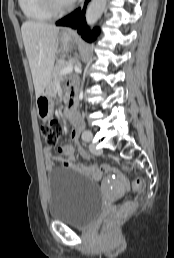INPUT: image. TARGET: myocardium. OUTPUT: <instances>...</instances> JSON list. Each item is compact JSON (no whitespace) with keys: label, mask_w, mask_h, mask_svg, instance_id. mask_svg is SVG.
<instances>
[{"label":"myocardium","mask_w":174,"mask_h":258,"mask_svg":"<svg viewBox=\"0 0 174 258\" xmlns=\"http://www.w3.org/2000/svg\"><path fill=\"white\" fill-rule=\"evenodd\" d=\"M45 8L53 16L61 15L72 8V2L61 4L57 0H42Z\"/></svg>","instance_id":"f54148a6"}]
</instances>
